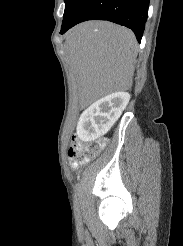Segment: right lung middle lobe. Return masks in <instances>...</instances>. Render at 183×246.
Masks as SVG:
<instances>
[{
	"instance_id": "1",
	"label": "right lung middle lobe",
	"mask_w": 183,
	"mask_h": 246,
	"mask_svg": "<svg viewBox=\"0 0 183 246\" xmlns=\"http://www.w3.org/2000/svg\"><path fill=\"white\" fill-rule=\"evenodd\" d=\"M65 1V11L63 15V22L68 19L72 14L73 10L77 6L80 0H64Z\"/></svg>"
}]
</instances>
